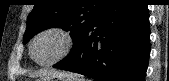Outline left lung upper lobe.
<instances>
[{
	"label": "left lung upper lobe",
	"instance_id": "obj_1",
	"mask_svg": "<svg viewBox=\"0 0 169 81\" xmlns=\"http://www.w3.org/2000/svg\"><path fill=\"white\" fill-rule=\"evenodd\" d=\"M110 0H36L28 15L27 29L23 37L26 44L34 35L48 28H63L71 31L73 48H77L89 26L98 18ZM59 63V62H58Z\"/></svg>",
	"mask_w": 169,
	"mask_h": 81
}]
</instances>
